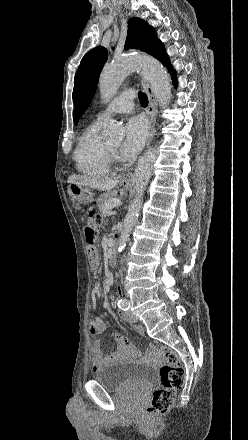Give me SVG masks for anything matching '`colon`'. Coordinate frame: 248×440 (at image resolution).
Segmentation results:
<instances>
[{
    "label": "colon",
    "instance_id": "1",
    "mask_svg": "<svg viewBox=\"0 0 248 440\" xmlns=\"http://www.w3.org/2000/svg\"><path fill=\"white\" fill-rule=\"evenodd\" d=\"M85 220L86 241L89 245H93L97 239L96 225L98 219L93 212H90ZM89 258L91 265L95 267L98 263V257L93 249L90 250ZM153 347L164 358V362L159 369L161 386L153 392L151 403L146 410L149 416L156 417L164 415L170 410L176 392L184 382V369L175 351L160 344H153Z\"/></svg>",
    "mask_w": 248,
    "mask_h": 440
}]
</instances>
